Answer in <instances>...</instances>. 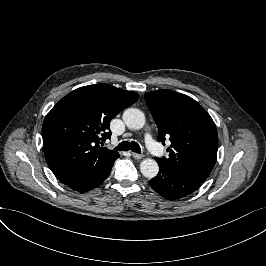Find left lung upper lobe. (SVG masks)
Segmentation results:
<instances>
[{
    "instance_id": "1",
    "label": "left lung upper lobe",
    "mask_w": 266,
    "mask_h": 266,
    "mask_svg": "<svg viewBox=\"0 0 266 266\" xmlns=\"http://www.w3.org/2000/svg\"><path fill=\"white\" fill-rule=\"evenodd\" d=\"M144 97L158 127V140L171 141L169 158L155 160L204 181L217 158L218 135L212 118L184 94L162 89Z\"/></svg>"
}]
</instances>
